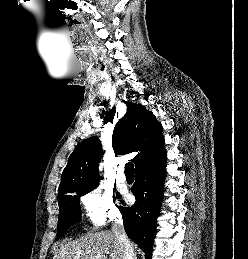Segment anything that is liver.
<instances>
[{
  "label": "liver",
  "mask_w": 248,
  "mask_h": 259,
  "mask_svg": "<svg viewBox=\"0 0 248 259\" xmlns=\"http://www.w3.org/2000/svg\"><path fill=\"white\" fill-rule=\"evenodd\" d=\"M124 259V251L113 232L88 233L61 245L53 259Z\"/></svg>",
  "instance_id": "liver-1"
}]
</instances>
